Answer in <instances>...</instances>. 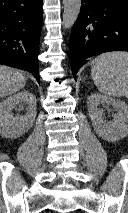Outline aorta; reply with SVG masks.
Instances as JSON below:
<instances>
[{
  "label": "aorta",
  "mask_w": 128,
  "mask_h": 213,
  "mask_svg": "<svg viewBox=\"0 0 128 213\" xmlns=\"http://www.w3.org/2000/svg\"><path fill=\"white\" fill-rule=\"evenodd\" d=\"M63 28L69 29L78 18L81 9V0H63Z\"/></svg>",
  "instance_id": "1"
}]
</instances>
